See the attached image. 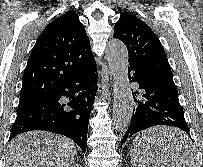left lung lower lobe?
<instances>
[{"instance_id": "0a47b994", "label": "left lung lower lobe", "mask_w": 203, "mask_h": 167, "mask_svg": "<svg viewBox=\"0 0 203 167\" xmlns=\"http://www.w3.org/2000/svg\"><path fill=\"white\" fill-rule=\"evenodd\" d=\"M129 71V80L138 83L140 91L133 92L136 105L121 144L133 134L156 125L178 127L191 138L174 82L160 79L137 65H130ZM178 148L192 153L185 143L179 144Z\"/></svg>"}]
</instances>
